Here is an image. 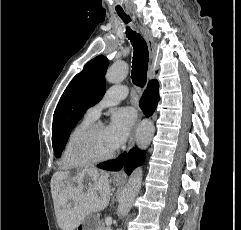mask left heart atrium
Here are the masks:
<instances>
[{"instance_id": "left-heart-atrium-1", "label": "left heart atrium", "mask_w": 241, "mask_h": 230, "mask_svg": "<svg viewBox=\"0 0 241 230\" xmlns=\"http://www.w3.org/2000/svg\"><path fill=\"white\" fill-rule=\"evenodd\" d=\"M135 124V113L131 108H122L112 114L106 127L108 142L113 150L121 147L128 139Z\"/></svg>"}]
</instances>
